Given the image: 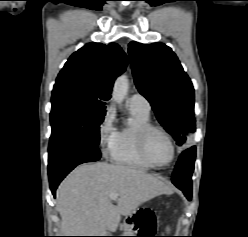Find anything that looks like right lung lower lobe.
<instances>
[{
	"instance_id": "right-lung-lower-lobe-1",
	"label": "right lung lower lobe",
	"mask_w": 248,
	"mask_h": 237,
	"mask_svg": "<svg viewBox=\"0 0 248 237\" xmlns=\"http://www.w3.org/2000/svg\"><path fill=\"white\" fill-rule=\"evenodd\" d=\"M100 158L98 147L91 143L63 139L50 140L48 172L53 195L55 196L59 183L77 165L98 161Z\"/></svg>"
}]
</instances>
